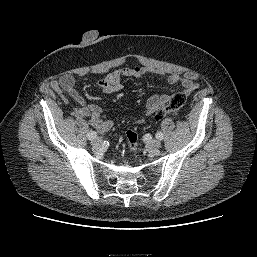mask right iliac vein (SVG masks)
<instances>
[{
  "label": "right iliac vein",
  "instance_id": "right-iliac-vein-1",
  "mask_svg": "<svg viewBox=\"0 0 257 257\" xmlns=\"http://www.w3.org/2000/svg\"><path fill=\"white\" fill-rule=\"evenodd\" d=\"M101 143H102V140L99 139V138H96V139H94V140L92 141V145H93L94 147H99V146L101 145Z\"/></svg>",
  "mask_w": 257,
  "mask_h": 257
}]
</instances>
